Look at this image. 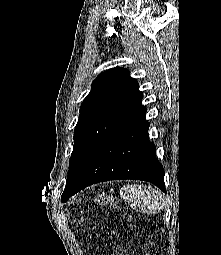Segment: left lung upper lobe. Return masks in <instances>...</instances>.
Instances as JSON below:
<instances>
[{"mask_svg": "<svg viewBox=\"0 0 221 255\" xmlns=\"http://www.w3.org/2000/svg\"><path fill=\"white\" fill-rule=\"evenodd\" d=\"M142 102L136 79L123 68L101 73L83 100L74 131V146L66 186L61 197L66 202L91 156L108 133Z\"/></svg>", "mask_w": 221, "mask_h": 255, "instance_id": "1", "label": "left lung upper lobe"}]
</instances>
